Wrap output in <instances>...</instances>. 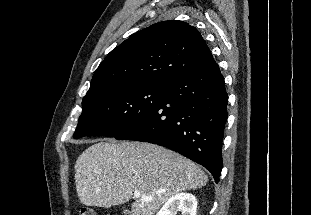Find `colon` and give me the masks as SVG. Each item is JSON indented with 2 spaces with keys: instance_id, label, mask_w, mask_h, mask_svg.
<instances>
[{
  "instance_id": "colon-1",
  "label": "colon",
  "mask_w": 311,
  "mask_h": 215,
  "mask_svg": "<svg viewBox=\"0 0 311 215\" xmlns=\"http://www.w3.org/2000/svg\"><path fill=\"white\" fill-rule=\"evenodd\" d=\"M79 215H96V213L90 208H82L79 212Z\"/></svg>"
}]
</instances>
